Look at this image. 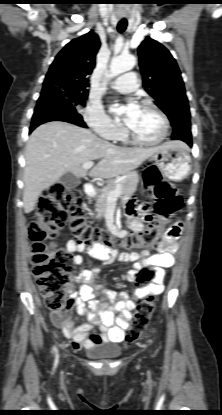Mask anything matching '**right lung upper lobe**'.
Masks as SVG:
<instances>
[{
  "mask_svg": "<svg viewBox=\"0 0 222 415\" xmlns=\"http://www.w3.org/2000/svg\"><path fill=\"white\" fill-rule=\"evenodd\" d=\"M101 46L93 31L70 41L56 56L43 82V91L69 88L88 93L89 75Z\"/></svg>",
  "mask_w": 222,
  "mask_h": 415,
  "instance_id": "cb5924a9",
  "label": "right lung upper lobe"
}]
</instances>
